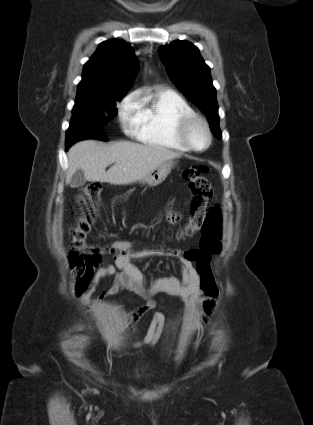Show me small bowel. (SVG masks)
Here are the masks:
<instances>
[{"instance_id":"c3829d8e","label":"small bowel","mask_w":313,"mask_h":425,"mask_svg":"<svg viewBox=\"0 0 313 425\" xmlns=\"http://www.w3.org/2000/svg\"><path fill=\"white\" fill-rule=\"evenodd\" d=\"M170 223L178 221L179 216L170 214ZM111 248L119 253L115 256L114 263L98 267L101 258L96 265L86 273L79 284V301L86 307V313L91 311V296L95 292L100 281L104 278L113 277V284L102 291L97 301H103L107 297L117 295L122 291H130L145 300V304L137 309L135 314L129 318L131 323L142 315L155 309L156 304L152 297L157 293H165L183 301L189 310L197 303H202L205 309L203 321H206L211 314L215 299L206 298L200 288V276L194 264L185 258L182 250L174 249L166 252L167 255L179 259L180 278L175 275H168L155 278L148 283L144 272L138 268L133 259H140L150 256L152 253L147 250H133L131 244L125 241H118L112 244ZM98 267V268H97ZM165 325V316L162 312H155L144 337L137 341L134 346H154L157 344Z\"/></svg>"}]
</instances>
